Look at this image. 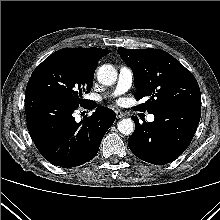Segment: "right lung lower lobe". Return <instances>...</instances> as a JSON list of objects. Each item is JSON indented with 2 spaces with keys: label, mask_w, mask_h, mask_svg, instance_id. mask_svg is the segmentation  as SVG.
Instances as JSON below:
<instances>
[{
  "label": "right lung lower lobe",
  "mask_w": 220,
  "mask_h": 220,
  "mask_svg": "<svg viewBox=\"0 0 220 220\" xmlns=\"http://www.w3.org/2000/svg\"><path fill=\"white\" fill-rule=\"evenodd\" d=\"M83 107L96 108L87 102ZM78 106L56 97L33 94L25 96L27 128L37 149L51 164L70 168L95 157L107 130L116 115L107 108L75 122L72 113Z\"/></svg>",
  "instance_id": "right-lung-lower-lobe-1"
}]
</instances>
